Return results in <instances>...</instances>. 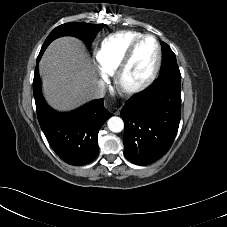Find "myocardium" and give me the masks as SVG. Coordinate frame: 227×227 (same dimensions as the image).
Segmentation results:
<instances>
[{"label": "myocardium", "instance_id": "1", "mask_svg": "<svg viewBox=\"0 0 227 227\" xmlns=\"http://www.w3.org/2000/svg\"><path fill=\"white\" fill-rule=\"evenodd\" d=\"M147 38L153 39L155 42V45H156L157 54H156V61H155L154 67L151 70V72L148 74V76L145 77L143 80H141L137 83L129 84L125 80L127 71L131 65V62L133 60V57L135 55V52H136L138 46L140 45V43L142 41H144ZM161 61H162V50H161V46H160V43H159V40L157 39V37L152 34H142L140 37L135 39L132 42V44L129 46L127 52L125 53L123 59L121 60L119 66L117 67V69L115 71V85H116L117 89L121 93L126 94V95H133V94L141 92L155 80V78L160 70Z\"/></svg>", "mask_w": 227, "mask_h": 227}]
</instances>
